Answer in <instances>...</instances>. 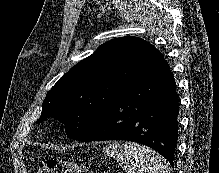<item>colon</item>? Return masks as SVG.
Segmentation results:
<instances>
[{
    "label": "colon",
    "instance_id": "colon-1",
    "mask_svg": "<svg viewBox=\"0 0 219 173\" xmlns=\"http://www.w3.org/2000/svg\"><path fill=\"white\" fill-rule=\"evenodd\" d=\"M36 173H92V171L88 167L52 157L42 160Z\"/></svg>",
    "mask_w": 219,
    "mask_h": 173
}]
</instances>
